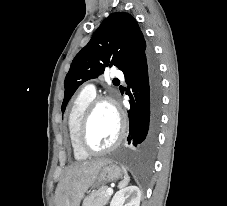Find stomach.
Here are the masks:
<instances>
[{"label": "stomach", "mask_w": 227, "mask_h": 206, "mask_svg": "<svg viewBox=\"0 0 227 206\" xmlns=\"http://www.w3.org/2000/svg\"><path fill=\"white\" fill-rule=\"evenodd\" d=\"M122 176V170L111 161L105 163L97 176L96 183L104 184L115 181Z\"/></svg>", "instance_id": "stomach-1"}]
</instances>
